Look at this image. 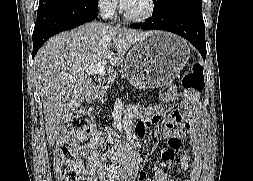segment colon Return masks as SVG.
Wrapping results in <instances>:
<instances>
[{"instance_id": "5ec220e1", "label": "colon", "mask_w": 253, "mask_h": 181, "mask_svg": "<svg viewBox=\"0 0 253 181\" xmlns=\"http://www.w3.org/2000/svg\"><path fill=\"white\" fill-rule=\"evenodd\" d=\"M182 86L193 93L203 90L204 76L200 63L192 64L182 78ZM91 131L92 123L85 113H78L67 121L56 148V174L59 181H92L85 173L74 148V142L84 139Z\"/></svg>"}]
</instances>
